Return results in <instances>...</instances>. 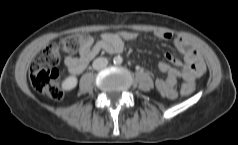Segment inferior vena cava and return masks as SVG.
I'll list each match as a JSON object with an SVG mask.
<instances>
[{
    "label": "inferior vena cava",
    "mask_w": 238,
    "mask_h": 145,
    "mask_svg": "<svg viewBox=\"0 0 238 145\" xmlns=\"http://www.w3.org/2000/svg\"><path fill=\"white\" fill-rule=\"evenodd\" d=\"M108 65V60L104 57H98L93 61V68L95 70H101Z\"/></svg>",
    "instance_id": "602c4592"
}]
</instances>
